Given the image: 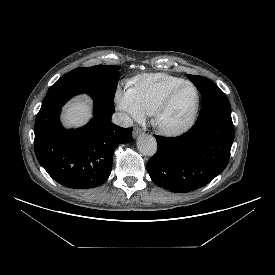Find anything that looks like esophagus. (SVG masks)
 <instances>
[{"mask_svg":"<svg viewBox=\"0 0 275 275\" xmlns=\"http://www.w3.org/2000/svg\"><path fill=\"white\" fill-rule=\"evenodd\" d=\"M141 133H142V130L140 128L136 127L133 130V137L136 138Z\"/></svg>","mask_w":275,"mask_h":275,"instance_id":"obj_1","label":"esophagus"}]
</instances>
